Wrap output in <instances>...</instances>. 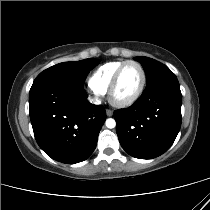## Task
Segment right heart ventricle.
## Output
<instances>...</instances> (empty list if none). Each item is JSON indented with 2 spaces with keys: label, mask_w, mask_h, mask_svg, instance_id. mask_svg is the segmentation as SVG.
Returning a JSON list of instances; mask_svg holds the SVG:
<instances>
[{
  "label": "right heart ventricle",
  "mask_w": 210,
  "mask_h": 210,
  "mask_svg": "<svg viewBox=\"0 0 210 210\" xmlns=\"http://www.w3.org/2000/svg\"><path fill=\"white\" fill-rule=\"evenodd\" d=\"M123 62V60L110 61L98 67L89 78L90 87L100 94L107 93L116 70Z\"/></svg>",
  "instance_id": "e07e8e85"
}]
</instances>
